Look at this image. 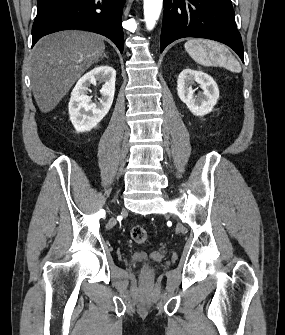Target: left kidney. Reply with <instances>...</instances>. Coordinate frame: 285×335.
<instances>
[{"label":"left kidney","instance_id":"1","mask_svg":"<svg viewBox=\"0 0 285 335\" xmlns=\"http://www.w3.org/2000/svg\"><path fill=\"white\" fill-rule=\"evenodd\" d=\"M194 82L200 84L199 88L203 90L200 96H194V90L191 88ZM177 94L181 102H184L195 116H205L212 112L219 98L218 86L213 78L204 72L189 70V68L183 70L178 76Z\"/></svg>","mask_w":285,"mask_h":335}]
</instances>
